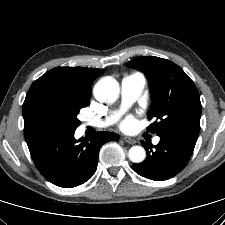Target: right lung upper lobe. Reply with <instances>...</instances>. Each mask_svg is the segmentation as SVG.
I'll list each match as a JSON object with an SVG mask.
<instances>
[{
    "label": "right lung upper lobe",
    "mask_w": 225,
    "mask_h": 225,
    "mask_svg": "<svg viewBox=\"0 0 225 225\" xmlns=\"http://www.w3.org/2000/svg\"><path fill=\"white\" fill-rule=\"evenodd\" d=\"M104 70L85 67H56L38 78L27 92L28 98L35 90L51 85L68 86L89 92L93 80ZM25 98V100H26ZM24 123V130L30 128Z\"/></svg>",
    "instance_id": "right-lung-upper-lobe-1"
}]
</instances>
